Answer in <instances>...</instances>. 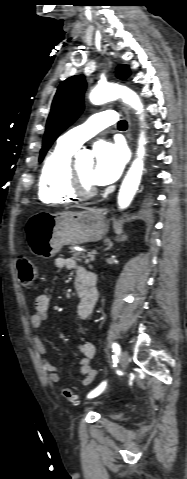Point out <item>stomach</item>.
Segmentation results:
<instances>
[{
	"label": "stomach",
	"instance_id": "0dacf381",
	"mask_svg": "<svg viewBox=\"0 0 187 479\" xmlns=\"http://www.w3.org/2000/svg\"><path fill=\"white\" fill-rule=\"evenodd\" d=\"M105 216L99 209L41 211L31 216L25 226L29 248L38 257L55 256L67 244L100 240L106 232Z\"/></svg>",
	"mask_w": 187,
	"mask_h": 479
}]
</instances>
